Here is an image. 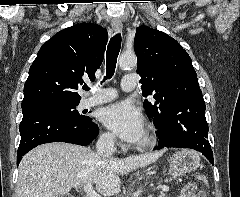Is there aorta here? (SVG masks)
<instances>
[{
  "label": "aorta",
  "instance_id": "762f6f07",
  "mask_svg": "<svg viewBox=\"0 0 240 197\" xmlns=\"http://www.w3.org/2000/svg\"><path fill=\"white\" fill-rule=\"evenodd\" d=\"M137 63V58L134 54H122L119 58V66L121 68H131Z\"/></svg>",
  "mask_w": 240,
  "mask_h": 197
}]
</instances>
